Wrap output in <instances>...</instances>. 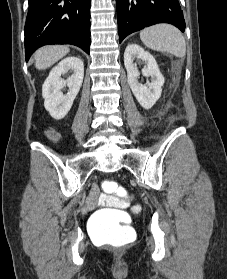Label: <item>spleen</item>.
Wrapping results in <instances>:
<instances>
[{
	"label": "spleen",
	"mask_w": 227,
	"mask_h": 279,
	"mask_svg": "<svg viewBox=\"0 0 227 279\" xmlns=\"http://www.w3.org/2000/svg\"><path fill=\"white\" fill-rule=\"evenodd\" d=\"M142 42L155 51L167 52L176 57H184L186 43L181 32L174 26L158 24L140 32Z\"/></svg>",
	"instance_id": "spleen-1"
}]
</instances>
